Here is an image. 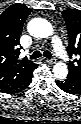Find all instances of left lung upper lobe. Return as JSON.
<instances>
[{
	"label": "left lung upper lobe",
	"mask_w": 81,
	"mask_h": 124,
	"mask_svg": "<svg viewBox=\"0 0 81 124\" xmlns=\"http://www.w3.org/2000/svg\"><path fill=\"white\" fill-rule=\"evenodd\" d=\"M62 15L69 37L67 51L70 57L75 56V59L69 62V74L67 78L81 84V11L67 9L62 12Z\"/></svg>",
	"instance_id": "left-lung-upper-lobe-1"
}]
</instances>
